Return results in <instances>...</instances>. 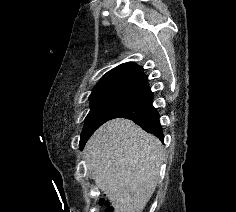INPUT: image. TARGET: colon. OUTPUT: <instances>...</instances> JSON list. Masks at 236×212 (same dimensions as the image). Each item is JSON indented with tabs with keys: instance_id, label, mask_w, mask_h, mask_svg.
I'll use <instances>...</instances> for the list:
<instances>
[{
	"instance_id": "obj_1",
	"label": "colon",
	"mask_w": 236,
	"mask_h": 212,
	"mask_svg": "<svg viewBox=\"0 0 236 212\" xmlns=\"http://www.w3.org/2000/svg\"><path fill=\"white\" fill-rule=\"evenodd\" d=\"M101 203L107 207V212H115L108 199H102Z\"/></svg>"
}]
</instances>
